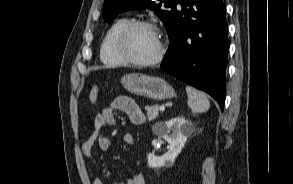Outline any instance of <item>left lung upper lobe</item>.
I'll return each instance as SVG.
<instances>
[{
    "instance_id": "obj_1",
    "label": "left lung upper lobe",
    "mask_w": 293,
    "mask_h": 184,
    "mask_svg": "<svg viewBox=\"0 0 293 184\" xmlns=\"http://www.w3.org/2000/svg\"><path fill=\"white\" fill-rule=\"evenodd\" d=\"M106 0L103 6V18L112 21L119 13L127 10L145 9L155 12L163 22L166 30L172 24L176 5L179 0Z\"/></svg>"
}]
</instances>
